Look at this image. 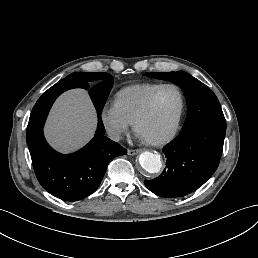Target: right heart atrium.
I'll return each instance as SVG.
<instances>
[{
	"mask_svg": "<svg viewBox=\"0 0 258 258\" xmlns=\"http://www.w3.org/2000/svg\"><path fill=\"white\" fill-rule=\"evenodd\" d=\"M100 117L106 130L113 135L124 133L130 125L114 103L106 105Z\"/></svg>",
	"mask_w": 258,
	"mask_h": 258,
	"instance_id": "d8ad5b80",
	"label": "right heart atrium"
}]
</instances>
